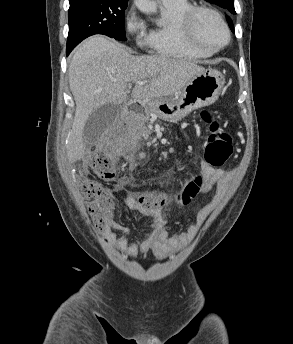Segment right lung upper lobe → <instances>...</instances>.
Instances as JSON below:
<instances>
[{"instance_id": "cb5924a9", "label": "right lung upper lobe", "mask_w": 293, "mask_h": 344, "mask_svg": "<svg viewBox=\"0 0 293 344\" xmlns=\"http://www.w3.org/2000/svg\"><path fill=\"white\" fill-rule=\"evenodd\" d=\"M80 1H82V0H69V2H70L71 4H74V3L80 2ZM114 1H125V2H128V0H114Z\"/></svg>"}]
</instances>
